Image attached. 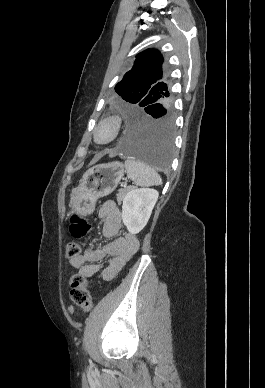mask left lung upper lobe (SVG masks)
I'll return each mask as SVG.
<instances>
[{
  "label": "left lung upper lobe",
  "mask_w": 265,
  "mask_h": 388,
  "mask_svg": "<svg viewBox=\"0 0 265 388\" xmlns=\"http://www.w3.org/2000/svg\"><path fill=\"white\" fill-rule=\"evenodd\" d=\"M163 57L156 49H148L136 56L133 68L115 86L124 102L125 110L142 109L154 104L171 103L167 76L162 70Z\"/></svg>",
  "instance_id": "1"
}]
</instances>
